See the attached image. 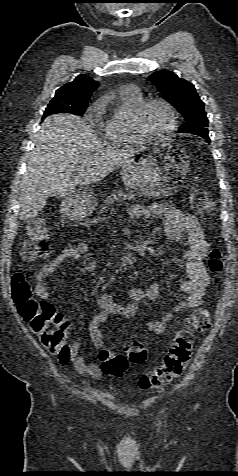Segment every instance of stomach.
I'll return each mask as SVG.
<instances>
[{
    "instance_id": "0dacf381",
    "label": "stomach",
    "mask_w": 238,
    "mask_h": 476,
    "mask_svg": "<svg viewBox=\"0 0 238 476\" xmlns=\"http://www.w3.org/2000/svg\"><path fill=\"white\" fill-rule=\"evenodd\" d=\"M190 160L177 145L145 144V149L132 152V159L122 165L121 176L127 188L153 197L175 192L188 174ZM92 189L84 188L68 196L63 203L64 214L83 219L95 209Z\"/></svg>"
}]
</instances>
